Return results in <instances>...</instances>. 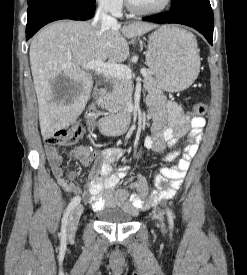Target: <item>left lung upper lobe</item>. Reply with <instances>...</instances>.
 <instances>
[{
    "label": "left lung upper lobe",
    "mask_w": 247,
    "mask_h": 275,
    "mask_svg": "<svg viewBox=\"0 0 247 275\" xmlns=\"http://www.w3.org/2000/svg\"><path fill=\"white\" fill-rule=\"evenodd\" d=\"M208 1V0H172L171 10L180 8L185 5H189L196 2Z\"/></svg>",
    "instance_id": "left-lung-upper-lobe-1"
}]
</instances>
